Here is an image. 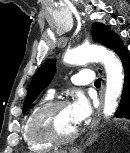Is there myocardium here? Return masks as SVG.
<instances>
[{"label": "myocardium", "instance_id": "myocardium-1", "mask_svg": "<svg viewBox=\"0 0 130 153\" xmlns=\"http://www.w3.org/2000/svg\"><path fill=\"white\" fill-rule=\"evenodd\" d=\"M68 105L69 103L66 100H54L41 106L33 114L29 124V130L32 136L52 144H66L73 141L78 135V127L67 135H60L54 129L51 122L54 113L60 108Z\"/></svg>", "mask_w": 130, "mask_h": 153}]
</instances>
